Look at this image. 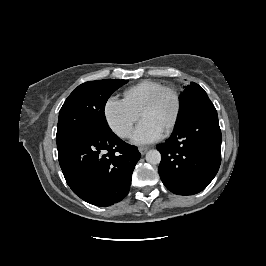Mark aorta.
<instances>
[{
    "label": "aorta",
    "mask_w": 266,
    "mask_h": 266,
    "mask_svg": "<svg viewBox=\"0 0 266 266\" xmlns=\"http://www.w3.org/2000/svg\"><path fill=\"white\" fill-rule=\"evenodd\" d=\"M146 161L152 165L159 164L161 161V154L157 150H149L146 153Z\"/></svg>",
    "instance_id": "aorta-1"
}]
</instances>
